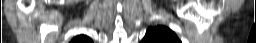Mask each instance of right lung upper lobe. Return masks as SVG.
<instances>
[{"label": "right lung upper lobe", "mask_w": 256, "mask_h": 43, "mask_svg": "<svg viewBox=\"0 0 256 43\" xmlns=\"http://www.w3.org/2000/svg\"><path fill=\"white\" fill-rule=\"evenodd\" d=\"M70 43H92V40L85 35H80L75 37Z\"/></svg>", "instance_id": "cb5924a9"}]
</instances>
